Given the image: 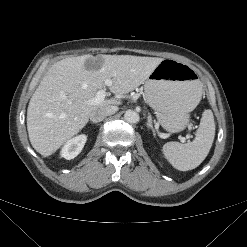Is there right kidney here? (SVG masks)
Returning <instances> with one entry per match:
<instances>
[{"mask_svg":"<svg viewBox=\"0 0 247 247\" xmlns=\"http://www.w3.org/2000/svg\"><path fill=\"white\" fill-rule=\"evenodd\" d=\"M86 140L85 135H79L68 140L61 150V156L67 160L75 158L82 151Z\"/></svg>","mask_w":247,"mask_h":247,"instance_id":"obj_1","label":"right kidney"}]
</instances>
